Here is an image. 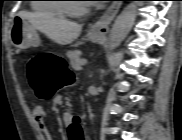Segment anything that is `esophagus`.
Masks as SVG:
<instances>
[{
    "label": "esophagus",
    "mask_w": 182,
    "mask_h": 140,
    "mask_svg": "<svg viewBox=\"0 0 182 140\" xmlns=\"http://www.w3.org/2000/svg\"><path fill=\"white\" fill-rule=\"evenodd\" d=\"M121 7L120 1H113L101 17L90 27V32L96 35H105L109 31L110 24L116 17Z\"/></svg>",
    "instance_id": "34e87169"
}]
</instances>
